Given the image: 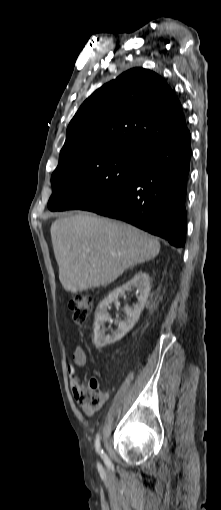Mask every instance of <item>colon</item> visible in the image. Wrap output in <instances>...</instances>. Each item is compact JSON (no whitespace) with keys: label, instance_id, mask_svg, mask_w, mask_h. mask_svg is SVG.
I'll use <instances>...</instances> for the list:
<instances>
[{"label":"colon","instance_id":"obj_1","mask_svg":"<svg viewBox=\"0 0 221 510\" xmlns=\"http://www.w3.org/2000/svg\"><path fill=\"white\" fill-rule=\"evenodd\" d=\"M73 320L76 323H84L92 309V298L88 295H79L69 303ZM104 393L96 379L91 378L86 382L80 396L81 405L87 410H98L104 402Z\"/></svg>","mask_w":221,"mask_h":510}]
</instances>
